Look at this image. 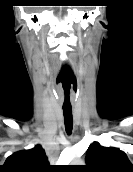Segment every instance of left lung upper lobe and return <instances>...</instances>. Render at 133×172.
I'll use <instances>...</instances> for the list:
<instances>
[{"mask_svg": "<svg viewBox=\"0 0 133 172\" xmlns=\"http://www.w3.org/2000/svg\"><path fill=\"white\" fill-rule=\"evenodd\" d=\"M85 172H133L126 154L113 147H102L93 142L87 150Z\"/></svg>", "mask_w": 133, "mask_h": 172, "instance_id": "obj_1", "label": "left lung upper lobe"}]
</instances>
